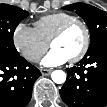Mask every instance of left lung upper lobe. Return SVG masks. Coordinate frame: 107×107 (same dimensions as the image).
<instances>
[{"label":"left lung upper lobe","mask_w":107,"mask_h":107,"mask_svg":"<svg viewBox=\"0 0 107 107\" xmlns=\"http://www.w3.org/2000/svg\"><path fill=\"white\" fill-rule=\"evenodd\" d=\"M63 8L75 10L88 25L91 33V42L88 50L102 42H107V12L85 3H75Z\"/></svg>","instance_id":"obj_1"}]
</instances>
